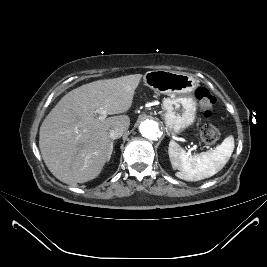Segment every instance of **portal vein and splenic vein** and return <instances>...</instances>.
<instances>
[{
	"instance_id": "18ae733b",
	"label": "portal vein and splenic vein",
	"mask_w": 267,
	"mask_h": 267,
	"mask_svg": "<svg viewBox=\"0 0 267 267\" xmlns=\"http://www.w3.org/2000/svg\"><path fill=\"white\" fill-rule=\"evenodd\" d=\"M97 113L100 114V116H99L100 120H104L107 117L106 112L102 108L98 109Z\"/></svg>"
}]
</instances>
